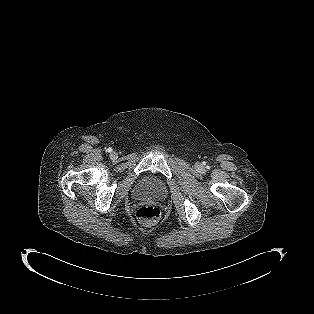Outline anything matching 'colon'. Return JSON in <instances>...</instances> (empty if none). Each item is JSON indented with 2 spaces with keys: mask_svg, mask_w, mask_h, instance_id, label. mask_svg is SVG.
<instances>
[{
  "mask_svg": "<svg viewBox=\"0 0 314 314\" xmlns=\"http://www.w3.org/2000/svg\"><path fill=\"white\" fill-rule=\"evenodd\" d=\"M161 209L155 205H142L136 210V217L143 223L153 224L161 217Z\"/></svg>",
  "mask_w": 314,
  "mask_h": 314,
  "instance_id": "5ec220e1",
  "label": "colon"
}]
</instances>
